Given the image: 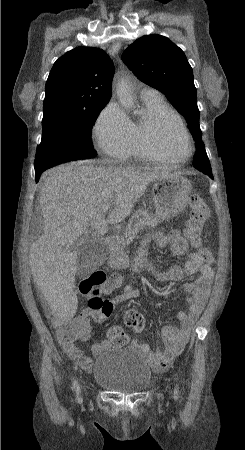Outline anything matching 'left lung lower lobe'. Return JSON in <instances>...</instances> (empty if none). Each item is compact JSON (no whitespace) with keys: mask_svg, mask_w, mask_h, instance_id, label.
<instances>
[{"mask_svg":"<svg viewBox=\"0 0 245 450\" xmlns=\"http://www.w3.org/2000/svg\"><path fill=\"white\" fill-rule=\"evenodd\" d=\"M196 149H197V154L198 155H200L201 157H205L206 156V152H205V149H204V147H203V145H197L196 146ZM204 174H207L210 178H212L213 179V176H212V171L211 170H209V171H202Z\"/></svg>","mask_w":245,"mask_h":450,"instance_id":"1","label":"left lung lower lobe"}]
</instances>
